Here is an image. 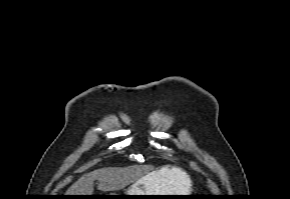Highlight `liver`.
<instances>
[{
	"label": "liver",
	"instance_id": "1",
	"mask_svg": "<svg viewBox=\"0 0 290 199\" xmlns=\"http://www.w3.org/2000/svg\"><path fill=\"white\" fill-rule=\"evenodd\" d=\"M148 173L147 175H152ZM143 171L137 166L126 168L108 167L89 172L81 176L66 192V195H92L94 181L98 180V189L101 191H115L125 188L130 183L143 178ZM146 175V176H147ZM157 178H162L165 186L176 192H183L189 184V177L180 168L164 167L157 173Z\"/></svg>",
	"mask_w": 290,
	"mask_h": 199
}]
</instances>
